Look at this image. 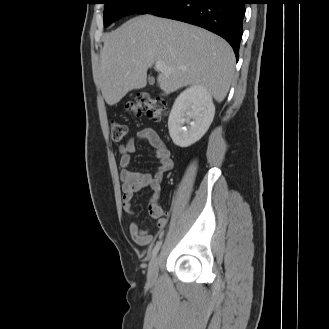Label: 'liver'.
I'll return each mask as SVG.
<instances>
[{"label":"liver","mask_w":329,"mask_h":329,"mask_svg":"<svg viewBox=\"0 0 329 329\" xmlns=\"http://www.w3.org/2000/svg\"><path fill=\"white\" fill-rule=\"evenodd\" d=\"M157 61L171 69L157 78L166 94L200 85L221 102L234 75V52L221 37L187 23L138 16L105 37L100 85L106 103L112 106L129 91L145 87L147 70Z\"/></svg>","instance_id":"1"}]
</instances>
